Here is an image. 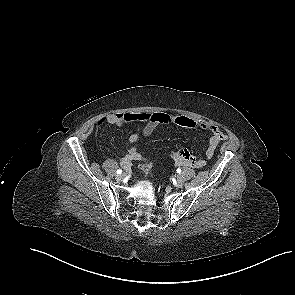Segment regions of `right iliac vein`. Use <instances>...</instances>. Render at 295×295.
<instances>
[{
	"mask_svg": "<svg viewBox=\"0 0 295 295\" xmlns=\"http://www.w3.org/2000/svg\"><path fill=\"white\" fill-rule=\"evenodd\" d=\"M123 178H124V175H123V174H120V175H117V176H116V179H117L118 181H121Z\"/></svg>",
	"mask_w": 295,
	"mask_h": 295,
	"instance_id": "1",
	"label": "right iliac vein"
}]
</instances>
